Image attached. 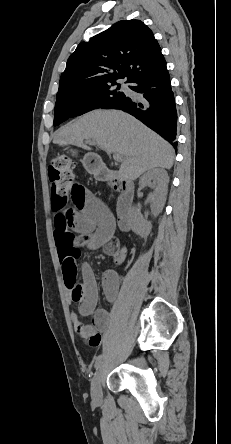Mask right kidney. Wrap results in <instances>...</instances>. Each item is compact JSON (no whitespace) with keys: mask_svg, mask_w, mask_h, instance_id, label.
Wrapping results in <instances>:
<instances>
[{"mask_svg":"<svg viewBox=\"0 0 231 444\" xmlns=\"http://www.w3.org/2000/svg\"><path fill=\"white\" fill-rule=\"evenodd\" d=\"M169 177L163 169H153L146 172L139 180L140 188L149 186L153 189V193L149 195L148 200L152 213L157 216L163 209L167 191H168ZM131 228L134 233L145 238L149 235L152 224L140 216V210L133 207L130 213Z\"/></svg>","mask_w":231,"mask_h":444,"instance_id":"ca27d5eb","label":"right kidney"}]
</instances>
